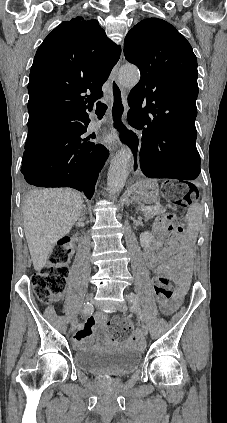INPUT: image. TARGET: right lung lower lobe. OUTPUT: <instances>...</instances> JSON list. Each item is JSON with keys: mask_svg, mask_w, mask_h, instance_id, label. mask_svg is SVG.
Masks as SVG:
<instances>
[{"mask_svg": "<svg viewBox=\"0 0 227 423\" xmlns=\"http://www.w3.org/2000/svg\"><path fill=\"white\" fill-rule=\"evenodd\" d=\"M91 110V107H87ZM87 108L59 109L39 106L29 112V120H43L71 114L76 122L55 137L27 148L21 172L25 180L37 187H71L84 192L88 199L94 193L98 174L108 157L103 145L85 138L90 119Z\"/></svg>", "mask_w": 227, "mask_h": 423, "instance_id": "98d812e1", "label": "right lung lower lobe"}]
</instances>
